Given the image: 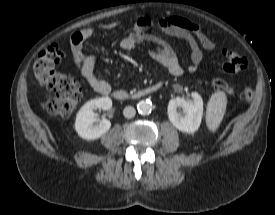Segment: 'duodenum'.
<instances>
[{"instance_id": "duodenum-1", "label": "duodenum", "mask_w": 275, "mask_h": 215, "mask_svg": "<svg viewBox=\"0 0 275 215\" xmlns=\"http://www.w3.org/2000/svg\"><path fill=\"white\" fill-rule=\"evenodd\" d=\"M163 86V82H157L155 84L146 86L134 93H128L124 90H115L112 93V97L117 101L137 100L153 93L158 92Z\"/></svg>"}]
</instances>
